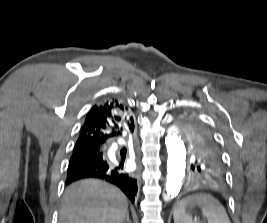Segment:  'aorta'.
<instances>
[{
  "mask_svg": "<svg viewBox=\"0 0 267 223\" xmlns=\"http://www.w3.org/2000/svg\"><path fill=\"white\" fill-rule=\"evenodd\" d=\"M165 144L168 159L166 188L163 198L164 200H170L179 194L186 169V149L177 125H172L169 128L165 137Z\"/></svg>",
  "mask_w": 267,
  "mask_h": 223,
  "instance_id": "762f6f07",
  "label": "aorta"
}]
</instances>
